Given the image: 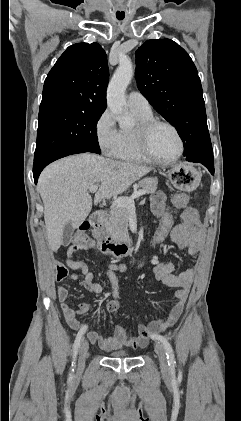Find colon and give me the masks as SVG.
<instances>
[{"label":"colon","mask_w":241,"mask_h":421,"mask_svg":"<svg viewBox=\"0 0 241 421\" xmlns=\"http://www.w3.org/2000/svg\"><path fill=\"white\" fill-rule=\"evenodd\" d=\"M188 202H189V196L186 193L176 194L172 198V205L177 208L186 206ZM173 225H174V218L171 213H167L163 217H161L153 233V236L151 238V245L158 246L162 244L166 240L168 235L170 234ZM89 227H90L89 224L84 222L80 225L78 230L73 234L72 241L74 244L72 245V247L74 249H78V247L83 246V245H88L92 247L93 243L87 235V231L89 230ZM67 275H68L67 268L63 265H59L57 268V279L62 280L66 278Z\"/></svg>","instance_id":"colon-1"}]
</instances>
